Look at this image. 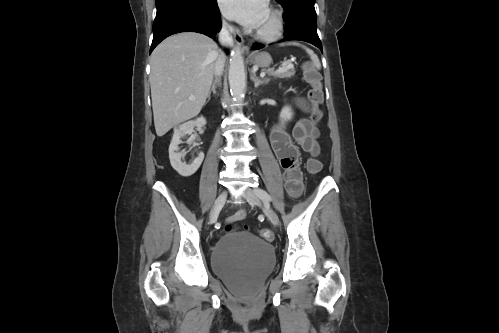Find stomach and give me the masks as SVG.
Instances as JSON below:
<instances>
[{"label":"stomach","mask_w":499,"mask_h":333,"mask_svg":"<svg viewBox=\"0 0 499 333\" xmlns=\"http://www.w3.org/2000/svg\"><path fill=\"white\" fill-rule=\"evenodd\" d=\"M251 62L258 67L267 68L272 63V58L269 53L260 52L251 57Z\"/></svg>","instance_id":"1"}]
</instances>
